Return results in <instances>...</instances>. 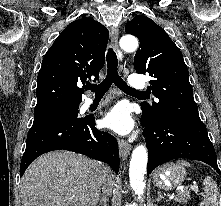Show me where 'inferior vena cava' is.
I'll use <instances>...</instances> for the list:
<instances>
[{"label":"inferior vena cava","instance_id":"obj_1","mask_svg":"<svg viewBox=\"0 0 221 206\" xmlns=\"http://www.w3.org/2000/svg\"><path fill=\"white\" fill-rule=\"evenodd\" d=\"M114 176L111 173L110 169L106 167V171L103 177V182H102V192L103 195L107 196L110 195L113 187H114Z\"/></svg>","mask_w":221,"mask_h":206}]
</instances>
